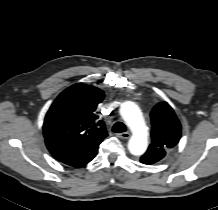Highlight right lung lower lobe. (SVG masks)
I'll use <instances>...</instances> for the list:
<instances>
[{"instance_id":"right-lung-lower-lobe-1","label":"right lung lower lobe","mask_w":218,"mask_h":210,"mask_svg":"<svg viewBox=\"0 0 218 210\" xmlns=\"http://www.w3.org/2000/svg\"><path fill=\"white\" fill-rule=\"evenodd\" d=\"M45 142L55 159L73 167L89 163L96 156L99 146H79L57 139H45Z\"/></svg>"}]
</instances>
